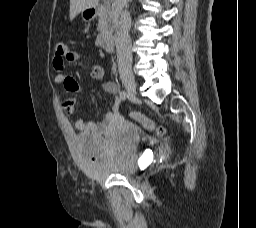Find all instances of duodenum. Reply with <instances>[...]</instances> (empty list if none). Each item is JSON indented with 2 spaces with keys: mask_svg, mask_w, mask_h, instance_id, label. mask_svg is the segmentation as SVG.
I'll list each match as a JSON object with an SVG mask.
<instances>
[{
  "mask_svg": "<svg viewBox=\"0 0 256 228\" xmlns=\"http://www.w3.org/2000/svg\"><path fill=\"white\" fill-rule=\"evenodd\" d=\"M101 11V8L99 5L95 4L92 5L88 12L91 17H96ZM98 44L106 51H111L114 46L113 36L109 32H103L101 33L97 38Z\"/></svg>",
  "mask_w": 256,
  "mask_h": 228,
  "instance_id": "1",
  "label": "duodenum"
}]
</instances>
